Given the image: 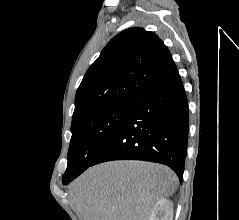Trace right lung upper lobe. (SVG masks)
Listing matches in <instances>:
<instances>
[{
	"label": "right lung upper lobe",
	"instance_id": "1",
	"mask_svg": "<svg viewBox=\"0 0 239 220\" xmlns=\"http://www.w3.org/2000/svg\"><path fill=\"white\" fill-rule=\"evenodd\" d=\"M175 69L156 34L137 27L122 31L87 70L76 93L72 122L111 106L131 104Z\"/></svg>",
	"mask_w": 239,
	"mask_h": 220
}]
</instances>
